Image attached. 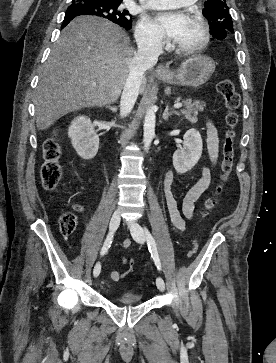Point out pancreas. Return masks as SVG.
<instances>
[{
  "label": "pancreas",
  "mask_w": 276,
  "mask_h": 363,
  "mask_svg": "<svg viewBox=\"0 0 276 363\" xmlns=\"http://www.w3.org/2000/svg\"><path fill=\"white\" fill-rule=\"evenodd\" d=\"M183 104L184 108L181 110V113L191 122L197 121L198 113L202 112L206 106L205 102H200L199 100L192 101L191 99L183 101Z\"/></svg>",
  "instance_id": "cf45deb5"
}]
</instances>
